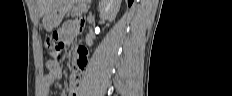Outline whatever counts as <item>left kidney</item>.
I'll return each instance as SVG.
<instances>
[{
    "label": "left kidney",
    "mask_w": 232,
    "mask_h": 96,
    "mask_svg": "<svg viewBox=\"0 0 232 96\" xmlns=\"http://www.w3.org/2000/svg\"><path fill=\"white\" fill-rule=\"evenodd\" d=\"M120 5L121 0H101L98 6L100 17L112 22L116 18ZM85 41L88 46H92L93 37L90 34H87Z\"/></svg>",
    "instance_id": "left-kidney-1"
}]
</instances>
